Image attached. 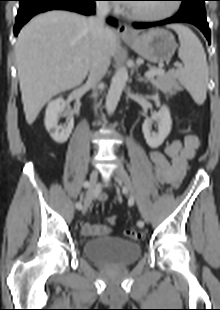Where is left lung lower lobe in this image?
<instances>
[{
	"label": "left lung lower lobe",
	"instance_id": "1",
	"mask_svg": "<svg viewBox=\"0 0 220 310\" xmlns=\"http://www.w3.org/2000/svg\"><path fill=\"white\" fill-rule=\"evenodd\" d=\"M172 23H190L198 27L205 37L208 40V43L210 44V29L208 26V23L206 21V16L199 13H189V14H182L178 12L173 17L159 21L154 23H134L133 26L137 29H143V28H149L153 26H159V25H165V24H172Z\"/></svg>",
	"mask_w": 220,
	"mask_h": 310
}]
</instances>
